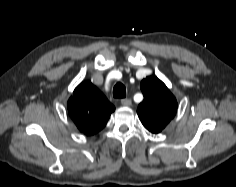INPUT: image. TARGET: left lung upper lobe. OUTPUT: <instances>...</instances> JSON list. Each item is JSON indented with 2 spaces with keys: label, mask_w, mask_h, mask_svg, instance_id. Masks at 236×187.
<instances>
[{
  "label": "left lung upper lobe",
  "mask_w": 236,
  "mask_h": 187,
  "mask_svg": "<svg viewBox=\"0 0 236 187\" xmlns=\"http://www.w3.org/2000/svg\"><path fill=\"white\" fill-rule=\"evenodd\" d=\"M140 87L144 100L138 106V116L146 129L159 133L175 116L177 101L157 77H147L142 80Z\"/></svg>",
  "instance_id": "5c2ea615"
}]
</instances>
